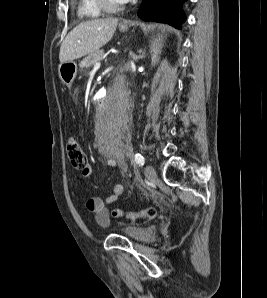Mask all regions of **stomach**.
Instances as JSON below:
<instances>
[{"label":"stomach","instance_id":"1","mask_svg":"<svg viewBox=\"0 0 267 298\" xmlns=\"http://www.w3.org/2000/svg\"><path fill=\"white\" fill-rule=\"evenodd\" d=\"M121 32L128 31V27L120 25ZM59 78L65 85H71L77 74V64L74 61L61 63L58 67Z\"/></svg>","mask_w":267,"mask_h":298}]
</instances>
